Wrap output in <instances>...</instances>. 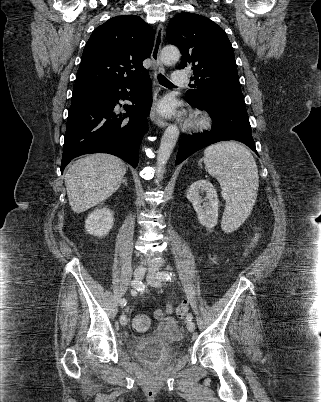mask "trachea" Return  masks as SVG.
Returning a JSON list of instances; mask_svg holds the SVG:
<instances>
[{"label":"trachea","mask_w":321,"mask_h":402,"mask_svg":"<svg viewBox=\"0 0 321 402\" xmlns=\"http://www.w3.org/2000/svg\"><path fill=\"white\" fill-rule=\"evenodd\" d=\"M158 81L165 87H174V85L162 74H158Z\"/></svg>","instance_id":"obj_1"}]
</instances>
